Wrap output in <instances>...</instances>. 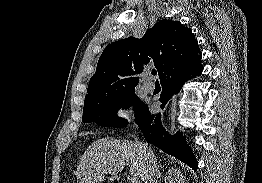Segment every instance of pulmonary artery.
<instances>
[{"label": "pulmonary artery", "instance_id": "e3ab8cb5", "mask_svg": "<svg viewBox=\"0 0 262 183\" xmlns=\"http://www.w3.org/2000/svg\"><path fill=\"white\" fill-rule=\"evenodd\" d=\"M148 78H149V75L146 76V79H148ZM143 87H144L145 91L152 92L155 88V85L150 81H145L144 84H143Z\"/></svg>", "mask_w": 262, "mask_h": 183}]
</instances>
